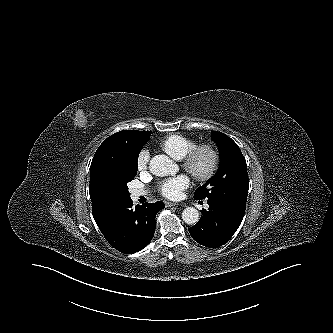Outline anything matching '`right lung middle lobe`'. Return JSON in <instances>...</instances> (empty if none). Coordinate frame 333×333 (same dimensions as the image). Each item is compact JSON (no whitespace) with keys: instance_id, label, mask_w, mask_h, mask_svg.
<instances>
[{"instance_id":"1","label":"right lung middle lobe","mask_w":333,"mask_h":333,"mask_svg":"<svg viewBox=\"0 0 333 333\" xmlns=\"http://www.w3.org/2000/svg\"><path fill=\"white\" fill-rule=\"evenodd\" d=\"M144 145V144H143ZM143 145L135 147L118 165L115 174V188L124 201L130 199L127 183L134 180L138 170V154Z\"/></svg>"}]
</instances>
